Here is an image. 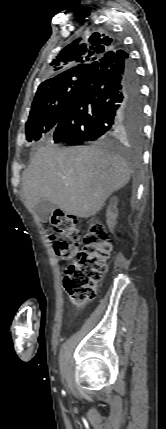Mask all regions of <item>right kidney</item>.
<instances>
[{
  "mask_svg": "<svg viewBox=\"0 0 166 429\" xmlns=\"http://www.w3.org/2000/svg\"><path fill=\"white\" fill-rule=\"evenodd\" d=\"M107 217V226L111 231H113L115 225L117 224V217H118V209H117V198L113 196L110 200V206L107 209L106 213Z\"/></svg>",
  "mask_w": 166,
  "mask_h": 429,
  "instance_id": "ca27d5eb",
  "label": "right kidney"
}]
</instances>
